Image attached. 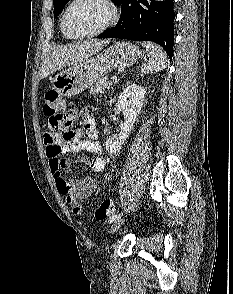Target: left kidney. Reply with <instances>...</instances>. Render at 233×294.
Returning <instances> with one entry per match:
<instances>
[{"instance_id": "1", "label": "left kidney", "mask_w": 233, "mask_h": 294, "mask_svg": "<svg viewBox=\"0 0 233 294\" xmlns=\"http://www.w3.org/2000/svg\"><path fill=\"white\" fill-rule=\"evenodd\" d=\"M146 90L132 83L123 89L118 97L116 107L123 112L124 123L120 125V133L115 140L107 139L106 150L109 154H116L129 137L138 115L141 113Z\"/></svg>"}]
</instances>
